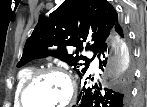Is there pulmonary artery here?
I'll list each match as a JSON object with an SVG mask.
<instances>
[{
    "label": "pulmonary artery",
    "instance_id": "1",
    "mask_svg": "<svg viewBox=\"0 0 147 107\" xmlns=\"http://www.w3.org/2000/svg\"><path fill=\"white\" fill-rule=\"evenodd\" d=\"M98 67V61L97 60H94L92 63H91V68L92 69H96Z\"/></svg>",
    "mask_w": 147,
    "mask_h": 107
}]
</instances>
